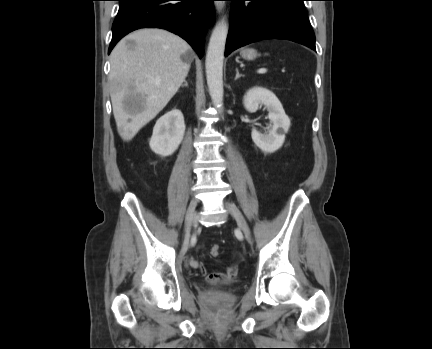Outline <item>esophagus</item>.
Here are the masks:
<instances>
[{
	"mask_svg": "<svg viewBox=\"0 0 432 349\" xmlns=\"http://www.w3.org/2000/svg\"><path fill=\"white\" fill-rule=\"evenodd\" d=\"M216 9L217 11L220 13L222 12L223 8H224V4L222 3V1H217L215 3Z\"/></svg>",
	"mask_w": 432,
	"mask_h": 349,
	"instance_id": "obj_1",
	"label": "esophagus"
}]
</instances>
